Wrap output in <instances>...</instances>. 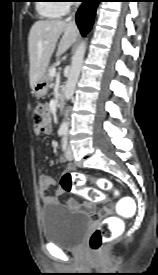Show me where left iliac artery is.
I'll return each instance as SVG.
<instances>
[{"label":"left iliac artery","mask_w":158,"mask_h":275,"mask_svg":"<svg viewBox=\"0 0 158 275\" xmlns=\"http://www.w3.org/2000/svg\"><path fill=\"white\" fill-rule=\"evenodd\" d=\"M66 146H67V136L65 134L64 137L62 138V148H63V150L66 149Z\"/></svg>","instance_id":"1"}]
</instances>
